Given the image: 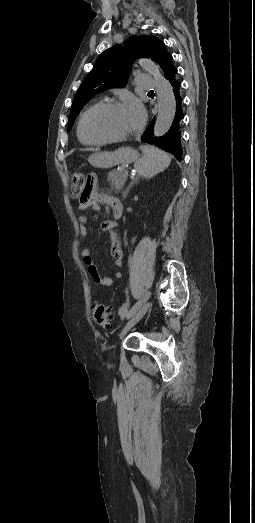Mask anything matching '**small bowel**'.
Returning a JSON list of instances; mask_svg holds the SVG:
<instances>
[{
  "label": "small bowel",
  "mask_w": 255,
  "mask_h": 523,
  "mask_svg": "<svg viewBox=\"0 0 255 523\" xmlns=\"http://www.w3.org/2000/svg\"><path fill=\"white\" fill-rule=\"evenodd\" d=\"M109 197L107 196H96L93 194L92 189L90 188V195L86 199H80L78 203V208L80 210H85L88 207H92L93 209H97L99 207L100 202L108 203ZM79 221V233L82 240V247L80 250V254L84 260V262L87 265V273L91 280L102 287H109L113 283V279L107 276H101L92 262L91 256H90V250L86 244L88 232H87V221L88 218L86 215L82 214L78 218ZM115 227L114 222L110 220L103 221L101 223V229L104 232H108L111 236V254L114 258V263L117 267H121L123 264V249L120 244L119 238L116 233H114L113 229ZM115 276L117 278L122 277L121 270H117L115 273Z\"/></svg>",
  "instance_id": "small-bowel-1"
}]
</instances>
